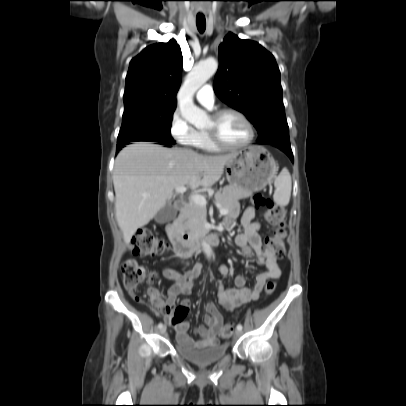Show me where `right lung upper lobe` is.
Wrapping results in <instances>:
<instances>
[{"instance_id":"obj_1","label":"right lung upper lobe","mask_w":406,"mask_h":406,"mask_svg":"<svg viewBox=\"0 0 406 406\" xmlns=\"http://www.w3.org/2000/svg\"><path fill=\"white\" fill-rule=\"evenodd\" d=\"M182 62L181 49L174 39L146 47L130 62L123 96L125 108H175Z\"/></svg>"}]
</instances>
